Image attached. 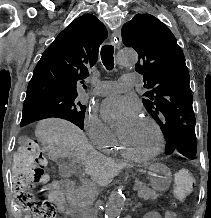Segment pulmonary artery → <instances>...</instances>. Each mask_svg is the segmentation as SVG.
Wrapping results in <instances>:
<instances>
[{
  "label": "pulmonary artery",
  "mask_w": 211,
  "mask_h": 218,
  "mask_svg": "<svg viewBox=\"0 0 211 218\" xmlns=\"http://www.w3.org/2000/svg\"><path fill=\"white\" fill-rule=\"evenodd\" d=\"M140 76L137 74H127L121 77L118 82L116 81H101L94 80V93L97 96H107L118 91H132V87H136L137 79ZM129 79V80H123Z\"/></svg>",
  "instance_id": "obj_1"
}]
</instances>
